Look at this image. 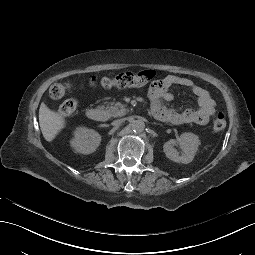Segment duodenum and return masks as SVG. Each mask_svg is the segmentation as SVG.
Here are the masks:
<instances>
[{"instance_id":"duodenum-1","label":"duodenum","mask_w":255,"mask_h":255,"mask_svg":"<svg viewBox=\"0 0 255 255\" xmlns=\"http://www.w3.org/2000/svg\"><path fill=\"white\" fill-rule=\"evenodd\" d=\"M87 117L93 121H104L106 119V112L100 107H92L87 110ZM153 117L161 122H169L171 119L170 113L161 107H155L152 109Z\"/></svg>"}]
</instances>
